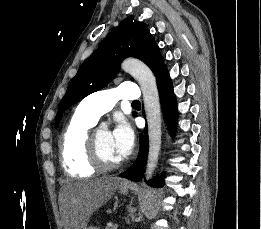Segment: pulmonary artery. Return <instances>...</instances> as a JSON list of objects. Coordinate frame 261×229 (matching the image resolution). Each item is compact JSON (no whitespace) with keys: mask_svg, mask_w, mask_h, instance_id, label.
<instances>
[{"mask_svg":"<svg viewBox=\"0 0 261 229\" xmlns=\"http://www.w3.org/2000/svg\"><path fill=\"white\" fill-rule=\"evenodd\" d=\"M137 84H121V87L105 89L95 92L80 103L79 107L89 119L97 122L102 115L112 110L120 99H138Z\"/></svg>","mask_w":261,"mask_h":229,"instance_id":"e3ab8cb5","label":"pulmonary artery"}]
</instances>
